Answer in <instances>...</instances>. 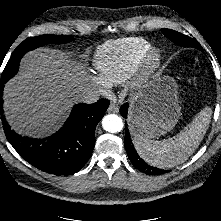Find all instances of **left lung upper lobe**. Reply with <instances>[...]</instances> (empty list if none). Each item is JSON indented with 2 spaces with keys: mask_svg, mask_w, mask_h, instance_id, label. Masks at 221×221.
Listing matches in <instances>:
<instances>
[{
  "mask_svg": "<svg viewBox=\"0 0 221 221\" xmlns=\"http://www.w3.org/2000/svg\"><path fill=\"white\" fill-rule=\"evenodd\" d=\"M161 31L167 38H169L171 41H173L177 45L184 46V47H194L203 51L201 46L189 36L183 35L171 29H162Z\"/></svg>",
  "mask_w": 221,
  "mask_h": 221,
  "instance_id": "5c2ea615",
  "label": "left lung upper lobe"
}]
</instances>
